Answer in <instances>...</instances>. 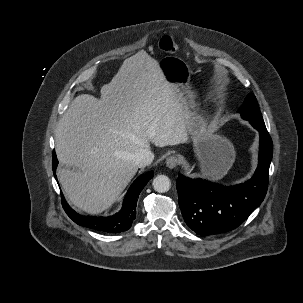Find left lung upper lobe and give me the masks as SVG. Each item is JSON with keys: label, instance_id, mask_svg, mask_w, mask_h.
Listing matches in <instances>:
<instances>
[{"label": "left lung upper lobe", "instance_id": "5c2ea615", "mask_svg": "<svg viewBox=\"0 0 303 303\" xmlns=\"http://www.w3.org/2000/svg\"><path fill=\"white\" fill-rule=\"evenodd\" d=\"M238 112L243 119L265 126L256 97L253 94L245 99Z\"/></svg>", "mask_w": 303, "mask_h": 303}]
</instances>
